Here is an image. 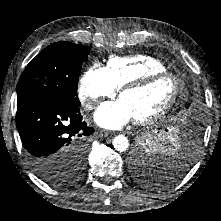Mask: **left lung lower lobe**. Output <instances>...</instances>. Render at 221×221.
Returning <instances> with one entry per match:
<instances>
[{
    "instance_id": "left-lung-lower-lobe-1",
    "label": "left lung lower lobe",
    "mask_w": 221,
    "mask_h": 221,
    "mask_svg": "<svg viewBox=\"0 0 221 221\" xmlns=\"http://www.w3.org/2000/svg\"><path fill=\"white\" fill-rule=\"evenodd\" d=\"M170 132L172 133L170 140L173 142L168 147L169 154H171L170 157L173 155L177 156L178 153L179 157L183 156L184 158H175V160H180L181 166L177 171H173L172 178L166 179L167 181H173L186 172L201 138L203 124L199 117H194L187 123H184L181 128L174 127Z\"/></svg>"
}]
</instances>
